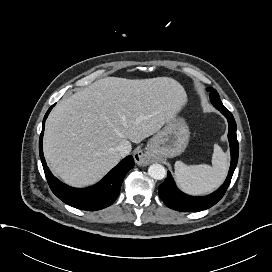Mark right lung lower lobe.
<instances>
[{"instance_id":"right-lung-lower-lobe-1","label":"right lung lower lobe","mask_w":272,"mask_h":272,"mask_svg":"<svg viewBox=\"0 0 272 272\" xmlns=\"http://www.w3.org/2000/svg\"><path fill=\"white\" fill-rule=\"evenodd\" d=\"M53 106L54 105L49 108L44 117L43 128L39 139V154L45 176L52 192L64 203L82 210L94 211L110 206L120 193L121 184L126 173L134 167L133 157L127 156L124 158L99 183L95 184L94 186L88 188H73L60 182L52 175L47 167L42 150L45 119Z\"/></svg>"}]
</instances>
